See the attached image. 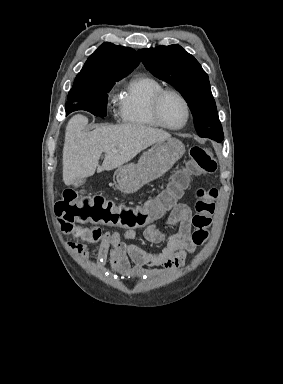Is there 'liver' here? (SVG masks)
<instances>
[{
    "instance_id": "6515ba94",
    "label": "liver",
    "mask_w": 283,
    "mask_h": 384,
    "mask_svg": "<svg viewBox=\"0 0 283 384\" xmlns=\"http://www.w3.org/2000/svg\"><path fill=\"white\" fill-rule=\"evenodd\" d=\"M88 118L76 114L69 120L65 130L63 148V182L70 186L76 180L89 178L103 170L120 168L133 160L139 152L152 144L171 138V134L140 124L102 126L93 132H84ZM118 150V152H112ZM105 160L99 166L101 154Z\"/></svg>"
}]
</instances>
